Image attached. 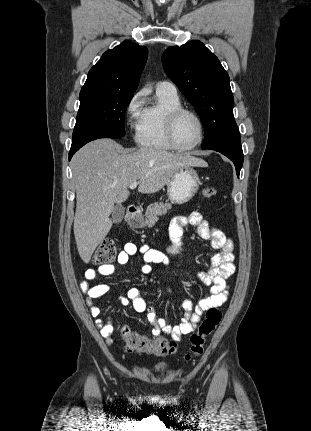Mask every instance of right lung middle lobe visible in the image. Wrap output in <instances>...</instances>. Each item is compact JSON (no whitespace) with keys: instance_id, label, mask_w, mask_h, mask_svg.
<instances>
[{"instance_id":"right-lung-middle-lobe-1","label":"right lung middle lobe","mask_w":311,"mask_h":431,"mask_svg":"<svg viewBox=\"0 0 311 431\" xmlns=\"http://www.w3.org/2000/svg\"><path fill=\"white\" fill-rule=\"evenodd\" d=\"M133 94L107 91L80 92V107L72 138L102 131L125 136L124 115Z\"/></svg>"}]
</instances>
